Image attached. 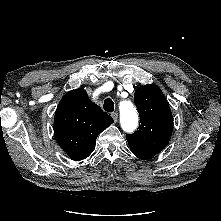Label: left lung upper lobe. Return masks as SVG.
<instances>
[{
    "label": "left lung upper lobe",
    "instance_id": "1",
    "mask_svg": "<svg viewBox=\"0 0 221 221\" xmlns=\"http://www.w3.org/2000/svg\"><path fill=\"white\" fill-rule=\"evenodd\" d=\"M134 101L140 115V125L127 134L128 144L138 158L149 159L168 144L173 117L167 100L156 85H145L135 91Z\"/></svg>",
    "mask_w": 221,
    "mask_h": 221
}]
</instances>
